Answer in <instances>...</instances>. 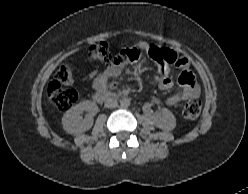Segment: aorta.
Returning a JSON list of instances; mask_svg holds the SVG:
<instances>
[{
  "mask_svg": "<svg viewBox=\"0 0 248 194\" xmlns=\"http://www.w3.org/2000/svg\"><path fill=\"white\" fill-rule=\"evenodd\" d=\"M120 106L122 108H128L130 106V99L128 98H123L121 101H120Z\"/></svg>",
  "mask_w": 248,
  "mask_h": 194,
  "instance_id": "1",
  "label": "aorta"
}]
</instances>
